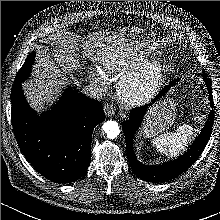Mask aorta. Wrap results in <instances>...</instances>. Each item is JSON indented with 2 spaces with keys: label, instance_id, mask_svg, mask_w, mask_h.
Masks as SVG:
<instances>
[{
  "label": "aorta",
  "instance_id": "1",
  "mask_svg": "<svg viewBox=\"0 0 220 220\" xmlns=\"http://www.w3.org/2000/svg\"><path fill=\"white\" fill-rule=\"evenodd\" d=\"M102 128L110 139H114L120 134L119 125L116 121H107L103 124Z\"/></svg>",
  "mask_w": 220,
  "mask_h": 220
}]
</instances>
